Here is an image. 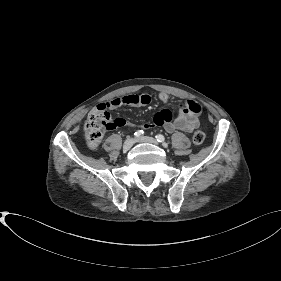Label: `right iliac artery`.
<instances>
[{"label":"right iliac artery","mask_w":281,"mask_h":281,"mask_svg":"<svg viewBox=\"0 0 281 281\" xmlns=\"http://www.w3.org/2000/svg\"><path fill=\"white\" fill-rule=\"evenodd\" d=\"M143 131L142 130H138L134 133L135 137H140L141 135H143Z\"/></svg>","instance_id":"obj_1"}]
</instances>
